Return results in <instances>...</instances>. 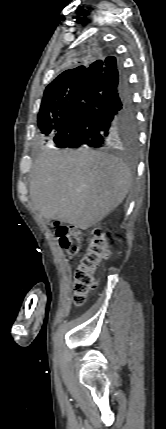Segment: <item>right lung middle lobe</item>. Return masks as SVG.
I'll list each match as a JSON object with an SVG mask.
<instances>
[{"label": "right lung middle lobe", "instance_id": "dd1d6c3e", "mask_svg": "<svg viewBox=\"0 0 166 429\" xmlns=\"http://www.w3.org/2000/svg\"><path fill=\"white\" fill-rule=\"evenodd\" d=\"M82 78L83 75L71 76L45 89L38 114V126L46 136L57 132L62 125ZM111 140L133 146L136 142V123L129 128L118 129Z\"/></svg>", "mask_w": 166, "mask_h": 429}]
</instances>
